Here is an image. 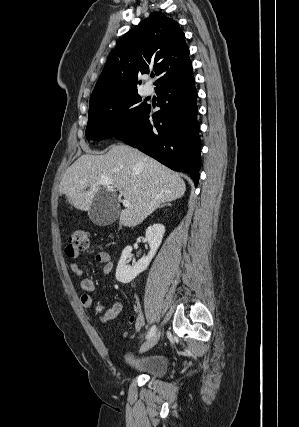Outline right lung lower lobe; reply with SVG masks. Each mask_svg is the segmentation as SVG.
I'll return each mask as SVG.
<instances>
[{"label":"right lung lower lobe","mask_w":299,"mask_h":427,"mask_svg":"<svg viewBox=\"0 0 299 427\" xmlns=\"http://www.w3.org/2000/svg\"><path fill=\"white\" fill-rule=\"evenodd\" d=\"M161 109L149 121L151 107L128 131L116 136L175 171L186 172L195 186L199 181L200 138L197 91L192 71L162 82L157 88Z\"/></svg>","instance_id":"obj_1"}]
</instances>
